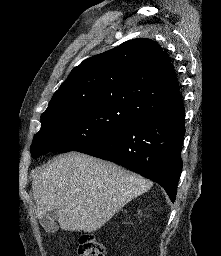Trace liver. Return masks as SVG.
Masks as SVG:
<instances>
[{
	"mask_svg": "<svg viewBox=\"0 0 221 256\" xmlns=\"http://www.w3.org/2000/svg\"><path fill=\"white\" fill-rule=\"evenodd\" d=\"M152 185L114 163L71 152L37 169L32 190L38 218L56 210L62 230L91 233Z\"/></svg>",
	"mask_w": 221,
	"mask_h": 256,
	"instance_id": "6515ba94",
	"label": "liver"
}]
</instances>
